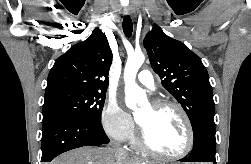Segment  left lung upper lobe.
I'll return each instance as SVG.
<instances>
[{
	"mask_svg": "<svg viewBox=\"0 0 251 164\" xmlns=\"http://www.w3.org/2000/svg\"><path fill=\"white\" fill-rule=\"evenodd\" d=\"M153 70L187 113L194 135L202 128L215 130V104L208 72L201 59L182 42L154 26L144 39Z\"/></svg>",
	"mask_w": 251,
	"mask_h": 164,
	"instance_id": "1",
	"label": "left lung upper lobe"
}]
</instances>
